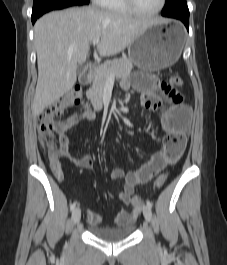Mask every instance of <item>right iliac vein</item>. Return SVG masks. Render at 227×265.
I'll list each match as a JSON object with an SVG mask.
<instances>
[{
  "label": "right iliac vein",
  "instance_id": "1",
  "mask_svg": "<svg viewBox=\"0 0 227 265\" xmlns=\"http://www.w3.org/2000/svg\"><path fill=\"white\" fill-rule=\"evenodd\" d=\"M81 219V210L79 207L75 208L72 213V222L73 224L79 223Z\"/></svg>",
  "mask_w": 227,
  "mask_h": 265
}]
</instances>
